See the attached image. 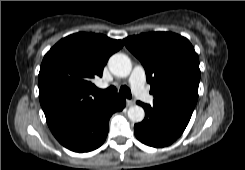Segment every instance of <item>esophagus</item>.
Returning a JSON list of instances; mask_svg holds the SVG:
<instances>
[{"label": "esophagus", "mask_w": 245, "mask_h": 170, "mask_svg": "<svg viewBox=\"0 0 245 170\" xmlns=\"http://www.w3.org/2000/svg\"><path fill=\"white\" fill-rule=\"evenodd\" d=\"M126 104H127V106H133L135 104V102L133 100L128 99L126 101Z\"/></svg>", "instance_id": "1"}]
</instances>
